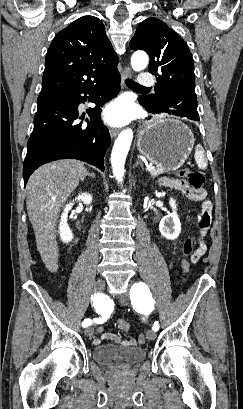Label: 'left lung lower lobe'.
Masks as SVG:
<instances>
[{"instance_id":"left-lung-lower-lobe-1","label":"left lung lower lobe","mask_w":243,"mask_h":409,"mask_svg":"<svg viewBox=\"0 0 243 409\" xmlns=\"http://www.w3.org/2000/svg\"><path fill=\"white\" fill-rule=\"evenodd\" d=\"M139 102L151 114L169 113L176 116L186 117L194 121H199L197 108L190 103L178 104L177 102L166 100L161 104L151 106L145 102L142 97L139 98Z\"/></svg>"}]
</instances>
